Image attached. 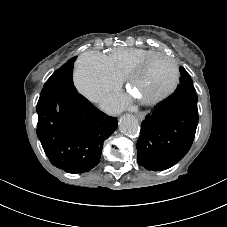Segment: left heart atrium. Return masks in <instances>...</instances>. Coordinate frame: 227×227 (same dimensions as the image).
Listing matches in <instances>:
<instances>
[{
	"label": "left heart atrium",
	"mask_w": 227,
	"mask_h": 227,
	"mask_svg": "<svg viewBox=\"0 0 227 227\" xmlns=\"http://www.w3.org/2000/svg\"><path fill=\"white\" fill-rule=\"evenodd\" d=\"M127 104V98L123 95H112L104 102V107L110 111H118Z\"/></svg>",
	"instance_id": "39dd6f15"
}]
</instances>
